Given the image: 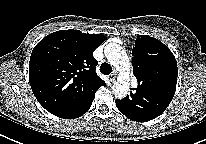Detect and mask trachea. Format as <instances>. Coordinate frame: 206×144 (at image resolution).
Masks as SVG:
<instances>
[{
  "label": "trachea",
  "mask_w": 206,
  "mask_h": 144,
  "mask_svg": "<svg viewBox=\"0 0 206 144\" xmlns=\"http://www.w3.org/2000/svg\"><path fill=\"white\" fill-rule=\"evenodd\" d=\"M100 71L104 75H109L112 72V67L108 63L104 62L100 66Z\"/></svg>",
  "instance_id": "1"
}]
</instances>
